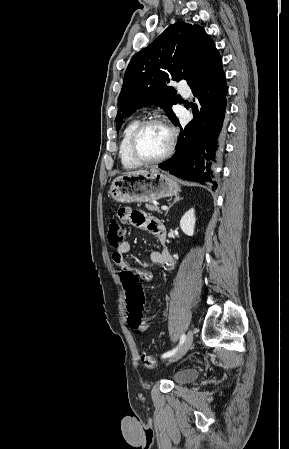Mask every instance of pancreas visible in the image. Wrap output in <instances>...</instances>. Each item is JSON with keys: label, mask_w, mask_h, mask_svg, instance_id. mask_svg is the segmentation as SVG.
I'll return each mask as SVG.
<instances>
[{"label": "pancreas", "mask_w": 289, "mask_h": 449, "mask_svg": "<svg viewBox=\"0 0 289 449\" xmlns=\"http://www.w3.org/2000/svg\"><path fill=\"white\" fill-rule=\"evenodd\" d=\"M146 208L148 210H150L151 212H158L161 213L159 207L157 205H151V204H146Z\"/></svg>", "instance_id": "cf45deb5"}]
</instances>
